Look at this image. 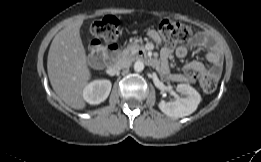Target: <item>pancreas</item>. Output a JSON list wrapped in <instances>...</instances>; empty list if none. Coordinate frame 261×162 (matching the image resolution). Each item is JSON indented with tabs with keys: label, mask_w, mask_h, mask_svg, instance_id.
I'll return each instance as SVG.
<instances>
[{
	"label": "pancreas",
	"mask_w": 261,
	"mask_h": 162,
	"mask_svg": "<svg viewBox=\"0 0 261 162\" xmlns=\"http://www.w3.org/2000/svg\"><path fill=\"white\" fill-rule=\"evenodd\" d=\"M139 51H142L144 54L146 53L143 45L131 43L128 44L127 47L121 52V56L132 59L138 54Z\"/></svg>",
	"instance_id": "1"
}]
</instances>
